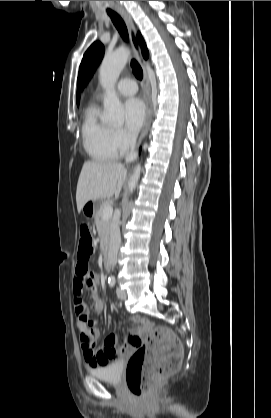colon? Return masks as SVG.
<instances>
[{
	"mask_svg": "<svg viewBox=\"0 0 271 418\" xmlns=\"http://www.w3.org/2000/svg\"><path fill=\"white\" fill-rule=\"evenodd\" d=\"M93 251L91 229L87 224H81L79 260H89ZM143 324L146 325L144 320ZM181 360L182 347L177 337L164 327L150 329L146 343L132 354L127 364L126 382L130 392L137 397L143 396L154 382L176 372Z\"/></svg>",
	"mask_w": 271,
	"mask_h": 418,
	"instance_id": "5ec220e1",
	"label": "colon"
}]
</instances>
